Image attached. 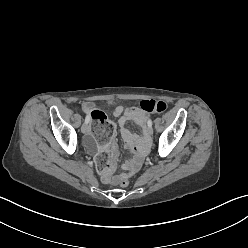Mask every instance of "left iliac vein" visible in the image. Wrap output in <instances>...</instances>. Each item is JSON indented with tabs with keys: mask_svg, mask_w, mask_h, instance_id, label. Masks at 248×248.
I'll use <instances>...</instances> for the list:
<instances>
[{
	"mask_svg": "<svg viewBox=\"0 0 248 248\" xmlns=\"http://www.w3.org/2000/svg\"><path fill=\"white\" fill-rule=\"evenodd\" d=\"M147 134L148 135H152L153 134V128L152 127H148Z\"/></svg>",
	"mask_w": 248,
	"mask_h": 248,
	"instance_id": "obj_1",
	"label": "left iliac vein"
}]
</instances>
